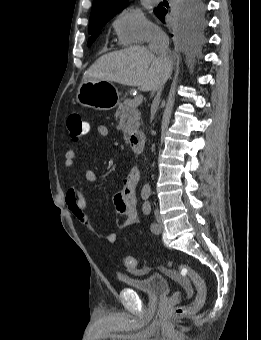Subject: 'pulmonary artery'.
I'll return each mask as SVG.
<instances>
[{"mask_svg": "<svg viewBox=\"0 0 261 340\" xmlns=\"http://www.w3.org/2000/svg\"><path fill=\"white\" fill-rule=\"evenodd\" d=\"M154 3H157V2H159L160 0H152Z\"/></svg>", "mask_w": 261, "mask_h": 340, "instance_id": "obj_1", "label": "pulmonary artery"}]
</instances>
